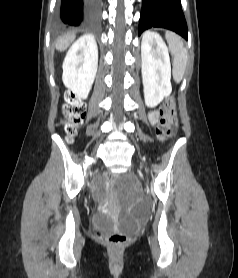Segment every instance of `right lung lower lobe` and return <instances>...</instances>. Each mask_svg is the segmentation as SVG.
Segmentation results:
<instances>
[{
    "instance_id": "1",
    "label": "right lung lower lobe",
    "mask_w": 238,
    "mask_h": 278,
    "mask_svg": "<svg viewBox=\"0 0 238 278\" xmlns=\"http://www.w3.org/2000/svg\"><path fill=\"white\" fill-rule=\"evenodd\" d=\"M100 0H62L61 26H91L98 21Z\"/></svg>"
}]
</instances>
